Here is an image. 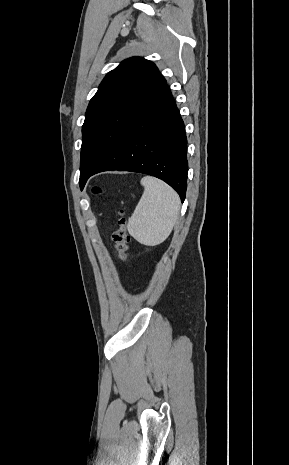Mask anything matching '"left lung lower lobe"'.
I'll list each match as a JSON object with an SVG mask.
<instances>
[{"label":"left lung lower lobe","instance_id":"left-lung-lower-lobe-1","mask_svg":"<svg viewBox=\"0 0 289 465\" xmlns=\"http://www.w3.org/2000/svg\"><path fill=\"white\" fill-rule=\"evenodd\" d=\"M140 172L162 179L181 201L187 188V139L183 120L165 84L143 107L130 128L89 173Z\"/></svg>","mask_w":289,"mask_h":465}]
</instances>
